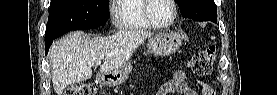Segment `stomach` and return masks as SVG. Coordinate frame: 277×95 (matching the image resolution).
<instances>
[{"instance_id": "0dacf381", "label": "stomach", "mask_w": 277, "mask_h": 95, "mask_svg": "<svg viewBox=\"0 0 277 95\" xmlns=\"http://www.w3.org/2000/svg\"><path fill=\"white\" fill-rule=\"evenodd\" d=\"M181 45V40L174 33H161L151 36L147 46L154 56H167L175 52ZM132 65L126 62L120 68L102 75L101 82L106 86H118L125 82L131 73Z\"/></svg>"}]
</instances>
